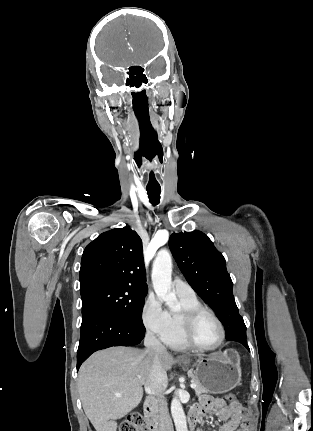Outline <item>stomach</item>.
<instances>
[{
	"label": "stomach",
	"mask_w": 313,
	"mask_h": 431,
	"mask_svg": "<svg viewBox=\"0 0 313 431\" xmlns=\"http://www.w3.org/2000/svg\"><path fill=\"white\" fill-rule=\"evenodd\" d=\"M182 362L188 365L191 360L185 359ZM193 366L195 369L190 371L207 392L213 394L226 393L241 382L239 356L234 350L199 357L195 360Z\"/></svg>",
	"instance_id": "obj_1"
}]
</instances>
